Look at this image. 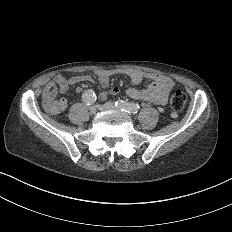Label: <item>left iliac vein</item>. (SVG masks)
I'll use <instances>...</instances> for the list:
<instances>
[{"label": "left iliac vein", "mask_w": 232, "mask_h": 232, "mask_svg": "<svg viewBox=\"0 0 232 232\" xmlns=\"http://www.w3.org/2000/svg\"><path fill=\"white\" fill-rule=\"evenodd\" d=\"M96 109H106V110H114L115 104L113 102H108L106 104H96Z\"/></svg>", "instance_id": "left-iliac-vein-1"}]
</instances>
